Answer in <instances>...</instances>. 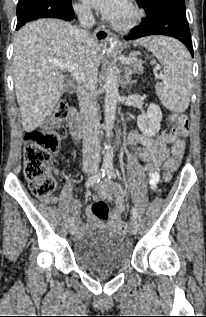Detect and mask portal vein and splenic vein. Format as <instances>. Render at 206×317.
<instances>
[{
	"label": "portal vein and splenic vein",
	"instance_id": "18ae733b",
	"mask_svg": "<svg viewBox=\"0 0 206 317\" xmlns=\"http://www.w3.org/2000/svg\"><path fill=\"white\" fill-rule=\"evenodd\" d=\"M137 59L135 57L132 58H128L122 61L123 64H130V63H134L136 62ZM49 62L54 66L57 67L58 69L61 70H68L76 79V81L81 82L82 80V72L80 70V68L78 67V65H76L75 63L68 61V60H64V59H50ZM159 78H161L162 76L159 75Z\"/></svg>",
	"mask_w": 206,
	"mask_h": 317
}]
</instances>
